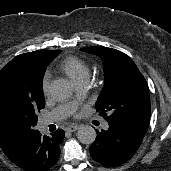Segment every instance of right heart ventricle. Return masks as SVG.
Listing matches in <instances>:
<instances>
[{"instance_id":"obj_1","label":"right heart ventricle","mask_w":171,"mask_h":171,"mask_svg":"<svg viewBox=\"0 0 171 171\" xmlns=\"http://www.w3.org/2000/svg\"><path fill=\"white\" fill-rule=\"evenodd\" d=\"M60 69L75 83L87 80L90 76V69L82 59L69 56L60 64Z\"/></svg>"}]
</instances>
